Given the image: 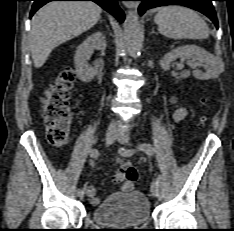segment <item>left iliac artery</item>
Returning <instances> with one entry per match:
<instances>
[{
    "label": "left iliac artery",
    "instance_id": "1",
    "mask_svg": "<svg viewBox=\"0 0 234 231\" xmlns=\"http://www.w3.org/2000/svg\"><path fill=\"white\" fill-rule=\"evenodd\" d=\"M137 148L141 151H144L148 155L155 154V149L151 144L148 143L140 144ZM133 152L134 150L131 149H125V148L119 149V153L123 156H130L133 154ZM157 183H158V197L162 199L164 197V191H163V182L160 175H158Z\"/></svg>",
    "mask_w": 234,
    "mask_h": 231
}]
</instances>
